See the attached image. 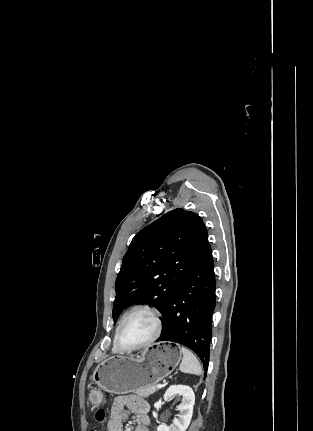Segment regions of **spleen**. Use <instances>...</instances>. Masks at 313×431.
I'll return each instance as SVG.
<instances>
[{"mask_svg": "<svg viewBox=\"0 0 313 431\" xmlns=\"http://www.w3.org/2000/svg\"><path fill=\"white\" fill-rule=\"evenodd\" d=\"M180 352L183 354V358L179 370L187 374L201 375L203 369L197 357L185 347H181Z\"/></svg>", "mask_w": 313, "mask_h": 431, "instance_id": "3e777b00", "label": "spleen"}]
</instances>
